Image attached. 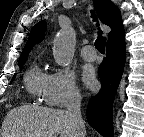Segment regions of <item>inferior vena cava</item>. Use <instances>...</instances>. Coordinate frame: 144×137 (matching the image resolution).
<instances>
[{"label":"inferior vena cava","instance_id":"inferior-vena-cava-1","mask_svg":"<svg viewBox=\"0 0 144 137\" xmlns=\"http://www.w3.org/2000/svg\"><path fill=\"white\" fill-rule=\"evenodd\" d=\"M81 95L79 92L73 91L70 95L67 111L72 120L75 129V137H85V124L81 116Z\"/></svg>","mask_w":144,"mask_h":137}]
</instances>
